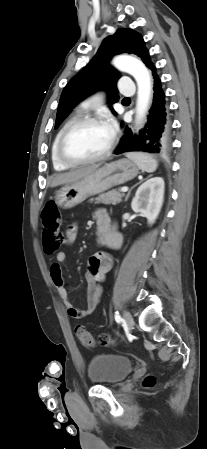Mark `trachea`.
I'll list each match as a JSON object with an SVG mask.
<instances>
[{
    "label": "trachea",
    "instance_id": "3493384b",
    "mask_svg": "<svg viewBox=\"0 0 207 449\" xmlns=\"http://www.w3.org/2000/svg\"><path fill=\"white\" fill-rule=\"evenodd\" d=\"M123 100H130V98H124Z\"/></svg>",
    "mask_w": 207,
    "mask_h": 449
}]
</instances>
